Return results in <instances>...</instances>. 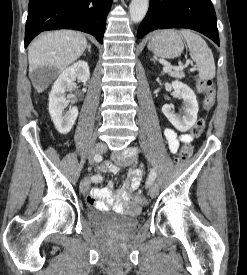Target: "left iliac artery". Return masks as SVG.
Masks as SVG:
<instances>
[{"label": "left iliac artery", "instance_id": "1", "mask_svg": "<svg viewBox=\"0 0 247 275\" xmlns=\"http://www.w3.org/2000/svg\"><path fill=\"white\" fill-rule=\"evenodd\" d=\"M137 153H138V148H137V147H134V148L130 151L129 155H132V154H135V155H136ZM155 178H156V171H155V169H151V170H150V173H149V176H148V178H147L146 186H147V187L150 186V185L154 182Z\"/></svg>", "mask_w": 247, "mask_h": 275}]
</instances>
